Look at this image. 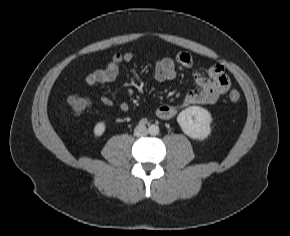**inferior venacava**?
I'll use <instances>...</instances> for the list:
<instances>
[{
    "label": "inferior vena cava",
    "instance_id": "inferior-vena-cava-1",
    "mask_svg": "<svg viewBox=\"0 0 290 236\" xmlns=\"http://www.w3.org/2000/svg\"><path fill=\"white\" fill-rule=\"evenodd\" d=\"M148 134V129L144 125H138L134 129V135L137 137H144Z\"/></svg>",
    "mask_w": 290,
    "mask_h": 236
}]
</instances>
